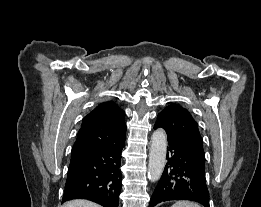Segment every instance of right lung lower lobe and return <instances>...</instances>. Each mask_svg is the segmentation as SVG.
I'll use <instances>...</instances> for the list:
<instances>
[{
  "instance_id": "98d812e1",
  "label": "right lung lower lobe",
  "mask_w": 261,
  "mask_h": 207,
  "mask_svg": "<svg viewBox=\"0 0 261 207\" xmlns=\"http://www.w3.org/2000/svg\"><path fill=\"white\" fill-rule=\"evenodd\" d=\"M124 145L125 139L112 146L71 157L62 203L88 199L103 207H118Z\"/></svg>"
}]
</instances>
